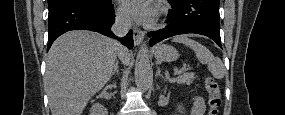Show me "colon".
Masks as SVG:
<instances>
[{
    "label": "colon",
    "mask_w": 285,
    "mask_h": 115,
    "mask_svg": "<svg viewBox=\"0 0 285 115\" xmlns=\"http://www.w3.org/2000/svg\"><path fill=\"white\" fill-rule=\"evenodd\" d=\"M205 87L208 93V114L216 115L221 105L219 86L214 79L207 77L205 79Z\"/></svg>",
    "instance_id": "5ec220e1"
}]
</instances>
